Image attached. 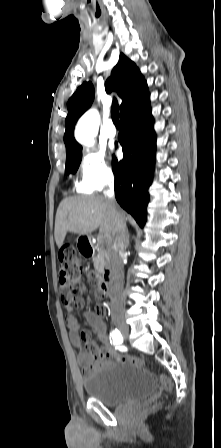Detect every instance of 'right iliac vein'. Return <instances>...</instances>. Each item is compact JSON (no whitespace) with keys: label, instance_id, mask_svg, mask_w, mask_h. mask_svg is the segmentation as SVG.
<instances>
[{"label":"right iliac vein","instance_id":"63e3f726","mask_svg":"<svg viewBox=\"0 0 221 448\" xmlns=\"http://www.w3.org/2000/svg\"><path fill=\"white\" fill-rule=\"evenodd\" d=\"M114 323L118 329V331L123 335L124 338H127L129 335V328L126 324H124L120 319H115Z\"/></svg>","mask_w":221,"mask_h":448}]
</instances>
